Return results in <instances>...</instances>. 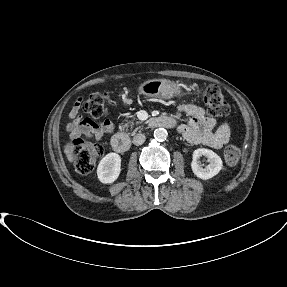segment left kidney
I'll use <instances>...</instances> for the list:
<instances>
[{
  "mask_svg": "<svg viewBox=\"0 0 287 287\" xmlns=\"http://www.w3.org/2000/svg\"><path fill=\"white\" fill-rule=\"evenodd\" d=\"M201 156L208 158L209 164L206 167L199 165L198 159ZM223 162L221 158L212 150L199 148L193 152L191 168L193 173L200 179H210L217 175L222 169Z\"/></svg>",
  "mask_w": 287,
  "mask_h": 287,
  "instance_id": "1",
  "label": "left kidney"
}]
</instances>
